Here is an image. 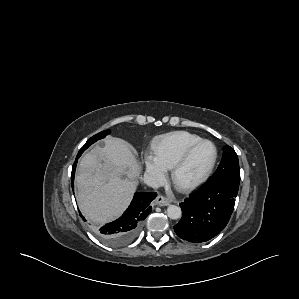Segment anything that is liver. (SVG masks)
<instances>
[{
  "instance_id": "obj_1",
  "label": "liver",
  "mask_w": 299,
  "mask_h": 299,
  "mask_svg": "<svg viewBox=\"0 0 299 299\" xmlns=\"http://www.w3.org/2000/svg\"><path fill=\"white\" fill-rule=\"evenodd\" d=\"M139 174V163L124 140L108 137L103 147H94L82 157L75 178L83 215L98 224L119 217L132 200Z\"/></svg>"
}]
</instances>
